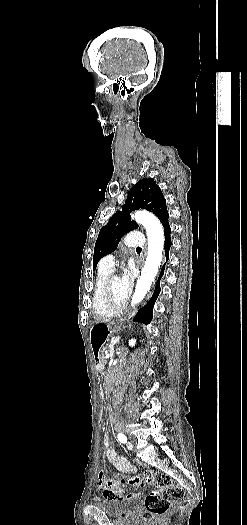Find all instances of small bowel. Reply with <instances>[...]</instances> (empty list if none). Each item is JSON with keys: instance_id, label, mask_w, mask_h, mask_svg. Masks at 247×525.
I'll use <instances>...</instances> for the list:
<instances>
[{"instance_id": "small-bowel-1", "label": "small bowel", "mask_w": 247, "mask_h": 525, "mask_svg": "<svg viewBox=\"0 0 247 525\" xmlns=\"http://www.w3.org/2000/svg\"><path fill=\"white\" fill-rule=\"evenodd\" d=\"M103 446L105 449L106 458L108 459L109 462H111L114 465V467L117 470L123 473L135 472L136 469L133 466V464L126 457L117 454L116 451L113 449L110 435L107 433L103 435ZM97 479H98V484L100 485V488L104 490L106 499L110 501H118L121 499V494H119L118 496L112 495L113 491H115L117 488L116 483L113 482L112 479L110 478L106 479L102 471L98 473Z\"/></svg>"}]
</instances>
